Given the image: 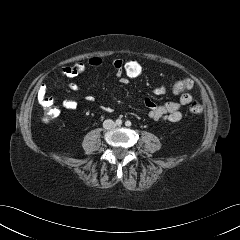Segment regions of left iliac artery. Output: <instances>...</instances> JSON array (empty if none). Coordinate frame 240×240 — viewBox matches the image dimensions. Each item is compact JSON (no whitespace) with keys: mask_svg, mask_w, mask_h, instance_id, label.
<instances>
[{"mask_svg":"<svg viewBox=\"0 0 240 240\" xmlns=\"http://www.w3.org/2000/svg\"><path fill=\"white\" fill-rule=\"evenodd\" d=\"M125 125L129 127V126H131V122L130 121H126Z\"/></svg>","mask_w":240,"mask_h":240,"instance_id":"left-iliac-artery-1","label":"left iliac artery"}]
</instances>
